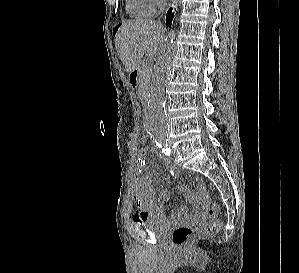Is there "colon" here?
Instances as JSON below:
<instances>
[{
  "label": "colon",
  "instance_id": "colon-1",
  "mask_svg": "<svg viewBox=\"0 0 299 273\" xmlns=\"http://www.w3.org/2000/svg\"><path fill=\"white\" fill-rule=\"evenodd\" d=\"M140 142L143 145V149L149 148L148 137L146 135H142L140 138ZM201 189L204 187L201 184ZM219 213V209L216 204H211L208 208V216L211 219H215ZM218 224L216 222H208L199 226H189V225H180L177 226L172 232V240L177 246H185L188 244L192 238L196 235L207 234L213 231Z\"/></svg>",
  "mask_w": 299,
  "mask_h": 273
}]
</instances>
